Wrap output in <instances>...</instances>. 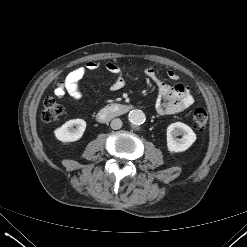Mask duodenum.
Segmentation results:
<instances>
[{
    "label": "duodenum",
    "instance_id": "obj_1",
    "mask_svg": "<svg viewBox=\"0 0 247 247\" xmlns=\"http://www.w3.org/2000/svg\"><path fill=\"white\" fill-rule=\"evenodd\" d=\"M132 107L128 104L112 103L103 107L97 114L100 122H106L114 117L121 116L129 112Z\"/></svg>",
    "mask_w": 247,
    "mask_h": 247
}]
</instances>
